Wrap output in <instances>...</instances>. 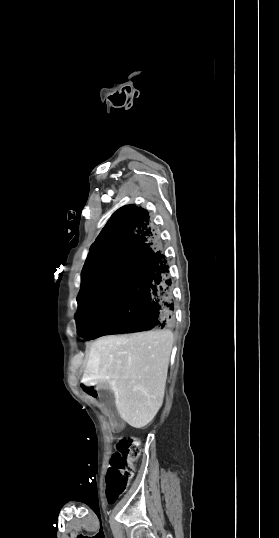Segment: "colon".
<instances>
[{"mask_svg": "<svg viewBox=\"0 0 279 538\" xmlns=\"http://www.w3.org/2000/svg\"><path fill=\"white\" fill-rule=\"evenodd\" d=\"M141 445L138 438L121 439L111 457L106 474V497L114 503L126 490L134 473V463L140 455Z\"/></svg>", "mask_w": 279, "mask_h": 538, "instance_id": "colon-1", "label": "colon"}]
</instances>
